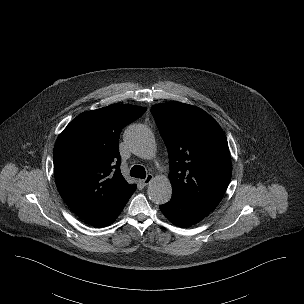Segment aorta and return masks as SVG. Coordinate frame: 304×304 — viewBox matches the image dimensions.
<instances>
[{"instance_id": "aorta-1", "label": "aorta", "mask_w": 304, "mask_h": 304, "mask_svg": "<svg viewBox=\"0 0 304 304\" xmlns=\"http://www.w3.org/2000/svg\"><path fill=\"white\" fill-rule=\"evenodd\" d=\"M125 141L131 151L137 156L150 159L155 155L156 143L150 129L144 125H132L125 132ZM149 199L158 205L170 201L172 186L168 178L158 177L148 186Z\"/></svg>"}]
</instances>
